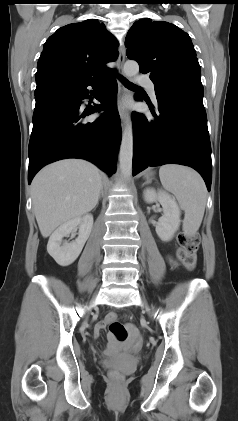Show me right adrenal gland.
<instances>
[{"mask_svg":"<svg viewBox=\"0 0 238 421\" xmlns=\"http://www.w3.org/2000/svg\"><path fill=\"white\" fill-rule=\"evenodd\" d=\"M102 196H103V186H102V188H101V192H100V195H99V199H100Z\"/></svg>","mask_w":238,"mask_h":421,"instance_id":"1","label":"right adrenal gland"}]
</instances>
